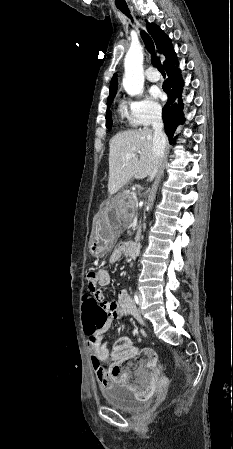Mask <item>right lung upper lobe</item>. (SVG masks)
<instances>
[{"label": "right lung upper lobe", "mask_w": 233, "mask_h": 449, "mask_svg": "<svg viewBox=\"0 0 233 449\" xmlns=\"http://www.w3.org/2000/svg\"><path fill=\"white\" fill-rule=\"evenodd\" d=\"M147 30L154 39L157 50L160 54H163L166 60L163 63L164 67H167L177 61L176 53L171 43V39L154 23L146 21ZM118 86L117 75L114 74L110 82V94H116Z\"/></svg>", "instance_id": "right-lung-upper-lobe-1"}]
</instances>
